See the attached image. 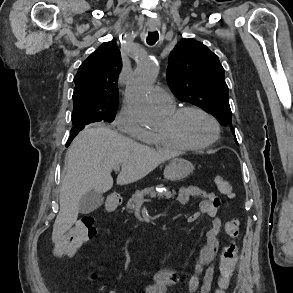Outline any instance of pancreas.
I'll return each instance as SVG.
<instances>
[{"mask_svg": "<svg viewBox=\"0 0 293 293\" xmlns=\"http://www.w3.org/2000/svg\"><path fill=\"white\" fill-rule=\"evenodd\" d=\"M162 185L158 186L161 187ZM176 192L173 190L172 192H156L155 187H148L144 188L143 190H137L132 197L129 199L127 203V209H129V212L132 213L135 209L136 203L141 200V198H144L145 196H149L150 198H165V199H170L172 198Z\"/></svg>", "mask_w": 293, "mask_h": 293, "instance_id": "cf45deb5", "label": "pancreas"}]
</instances>
